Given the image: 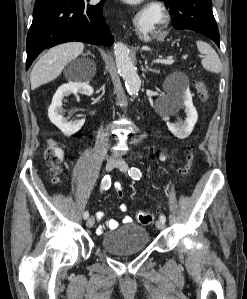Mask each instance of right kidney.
<instances>
[{
	"label": "right kidney",
	"mask_w": 247,
	"mask_h": 299,
	"mask_svg": "<svg viewBox=\"0 0 247 299\" xmlns=\"http://www.w3.org/2000/svg\"><path fill=\"white\" fill-rule=\"evenodd\" d=\"M93 88L88 81L69 82L61 85L53 96L52 103L48 108V116L50 121L59 128L65 136H71L77 133L84 125L85 119L77 121H68V118L63 117L62 101L64 97L71 94L92 95Z\"/></svg>",
	"instance_id": "obj_1"
}]
</instances>
